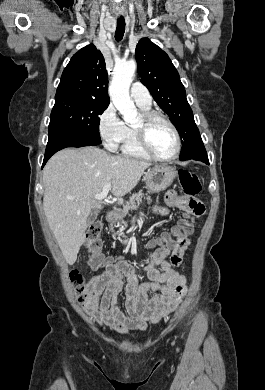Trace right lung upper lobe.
<instances>
[{
    "label": "right lung upper lobe",
    "instance_id": "cb5924a9",
    "mask_svg": "<svg viewBox=\"0 0 265 390\" xmlns=\"http://www.w3.org/2000/svg\"><path fill=\"white\" fill-rule=\"evenodd\" d=\"M108 74L102 53L90 44L73 55L64 69L55 101L92 100L109 104Z\"/></svg>",
    "mask_w": 265,
    "mask_h": 390
}]
</instances>
